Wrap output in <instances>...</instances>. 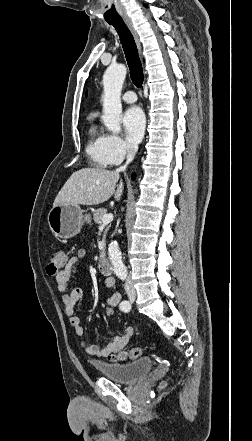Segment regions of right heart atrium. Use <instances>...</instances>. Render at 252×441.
<instances>
[{"mask_svg": "<svg viewBox=\"0 0 252 441\" xmlns=\"http://www.w3.org/2000/svg\"><path fill=\"white\" fill-rule=\"evenodd\" d=\"M105 150L111 165H118L133 154V148L116 134L105 135Z\"/></svg>", "mask_w": 252, "mask_h": 441, "instance_id": "obj_1", "label": "right heart atrium"}]
</instances>
